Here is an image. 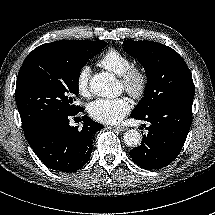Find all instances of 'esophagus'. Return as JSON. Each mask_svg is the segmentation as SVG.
<instances>
[{"mask_svg": "<svg viewBox=\"0 0 215 215\" xmlns=\"http://www.w3.org/2000/svg\"><path fill=\"white\" fill-rule=\"evenodd\" d=\"M116 130L120 131V132H123L125 131L127 128L126 127H122V126H118V127H115Z\"/></svg>", "mask_w": 215, "mask_h": 215, "instance_id": "obj_1", "label": "esophagus"}]
</instances>
